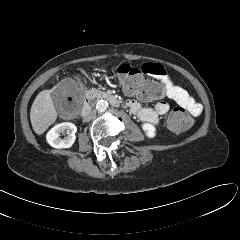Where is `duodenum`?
<instances>
[{
    "mask_svg": "<svg viewBox=\"0 0 240 240\" xmlns=\"http://www.w3.org/2000/svg\"><path fill=\"white\" fill-rule=\"evenodd\" d=\"M95 97L103 98L105 100H108L114 106H119L120 105V100L115 95H113L111 93L102 92V93H99V94H96V95H94L92 93H88L85 96L83 108H82V111H81V114L83 116L88 114V112L90 110V107H91V104H92V101Z\"/></svg>",
    "mask_w": 240,
    "mask_h": 240,
    "instance_id": "410a0bca",
    "label": "duodenum"
}]
</instances>
